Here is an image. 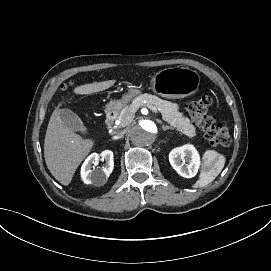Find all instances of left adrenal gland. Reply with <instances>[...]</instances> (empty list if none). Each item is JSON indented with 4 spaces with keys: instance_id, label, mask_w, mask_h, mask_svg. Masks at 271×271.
I'll use <instances>...</instances> for the list:
<instances>
[{
    "instance_id": "1",
    "label": "left adrenal gland",
    "mask_w": 271,
    "mask_h": 271,
    "mask_svg": "<svg viewBox=\"0 0 271 271\" xmlns=\"http://www.w3.org/2000/svg\"><path fill=\"white\" fill-rule=\"evenodd\" d=\"M162 129H163L164 131H166V130H174L173 127H169V126H166V125H162Z\"/></svg>"
}]
</instances>
